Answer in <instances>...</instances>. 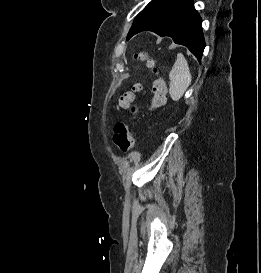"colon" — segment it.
Returning a JSON list of instances; mask_svg holds the SVG:
<instances>
[{
  "instance_id": "5ec220e1",
  "label": "colon",
  "mask_w": 261,
  "mask_h": 273,
  "mask_svg": "<svg viewBox=\"0 0 261 273\" xmlns=\"http://www.w3.org/2000/svg\"><path fill=\"white\" fill-rule=\"evenodd\" d=\"M138 59L146 61L147 65L153 70L155 79L152 84V101L150 110L157 109L163 106L166 102L167 88L163 77L161 76L157 67L156 60L153 59L146 49L141 50ZM141 89L139 83L135 84L131 89L125 91L120 95L116 103L117 109L126 110L130 109L132 113H137L139 108L134 103L136 93ZM113 142L115 146L123 152L129 151L134 145V137L131 128L128 124L118 122L114 127Z\"/></svg>"
}]
</instances>
